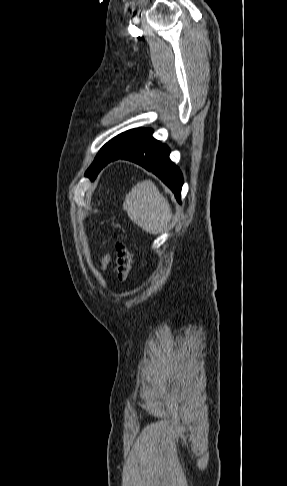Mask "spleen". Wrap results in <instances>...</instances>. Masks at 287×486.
I'll list each match as a JSON object with an SVG mask.
<instances>
[{"mask_svg": "<svg viewBox=\"0 0 287 486\" xmlns=\"http://www.w3.org/2000/svg\"><path fill=\"white\" fill-rule=\"evenodd\" d=\"M123 209L132 222L153 235L162 233L173 217L168 200L151 180L132 188L125 197Z\"/></svg>", "mask_w": 287, "mask_h": 486, "instance_id": "1", "label": "spleen"}]
</instances>
